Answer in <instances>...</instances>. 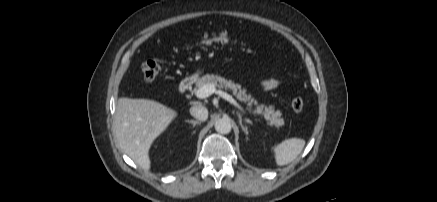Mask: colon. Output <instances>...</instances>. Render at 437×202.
Listing matches in <instances>:
<instances>
[{
  "instance_id": "5ec220e1",
  "label": "colon",
  "mask_w": 437,
  "mask_h": 202,
  "mask_svg": "<svg viewBox=\"0 0 437 202\" xmlns=\"http://www.w3.org/2000/svg\"><path fill=\"white\" fill-rule=\"evenodd\" d=\"M230 41H232V37L225 31L206 33L197 40L199 44L227 43ZM160 69V63L154 59L143 62L141 66L143 78L148 82L153 81L158 76ZM304 106L305 103L301 97L297 96L291 100V107L295 112H301Z\"/></svg>"
}]
</instances>
